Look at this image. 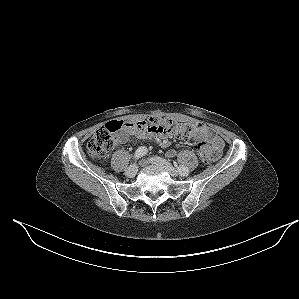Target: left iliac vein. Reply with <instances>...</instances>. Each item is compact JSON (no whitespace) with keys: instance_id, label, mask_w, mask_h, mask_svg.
<instances>
[{"instance_id":"obj_1","label":"left iliac vein","mask_w":299,"mask_h":299,"mask_svg":"<svg viewBox=\"0 0 299 299\" xmlns=\"http://www.w3.org/2000/svg\"><path fill=\"white\" fill-rule=\"evenodd\" d=\"M150 163L160 166L163 169H165L171 176H177L178 171L165 159H162L160 157H151L149 159Z\"/></svg>"}]
</instances>
